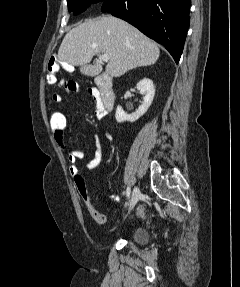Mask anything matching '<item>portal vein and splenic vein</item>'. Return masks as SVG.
<instances>
[{
  "mask_svg": "<svg viewBox=\"0 0 240 287\" xmlns=\"http://www.w3.org/2000/svg\"><path fill=\"white\" fill-rule=\"evenodd\" d=\"M101 59H102L104 62H108V61H109V56H108V54L103 53V54L101 55Z\"/></svg>",
  "mask_w": 240,
  "mask_h": 287,
  "instance_id": "18ae733b",
  "label": "portal vein and splenic vein"
}]
</instances>
